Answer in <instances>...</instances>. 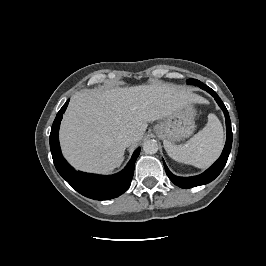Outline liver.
I'll list each match as a JSON object with an SVG mask.
<instances>
[{
    "instance_id": "1",
    "label": "liver",
    "mask_w": 266,
    "mask_h": 266,
    "mask_svg": "<svg viewBox=\"0 0 266 266\" xmlns=\"http://www.w3.org/2000/svg\"><path fill=\"white\" fill-rule=\"evenodd\" d=\"M201 101L189 89L165 83L81 90L72 96L61 123L62 152L77 169L110 172L124 159L121 134H131V144H137L148 122Z\"/></svg>"
}]
</instances>
